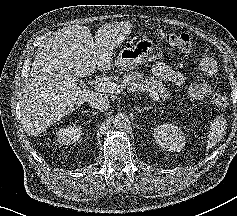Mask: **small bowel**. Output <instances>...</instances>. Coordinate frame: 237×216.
Segmentation results:
<instances>
[{"instance_id":"obj_1","label":"small bowel","mask_w":237,"mask_h":216,"mask_svg":"<svg viewBox=\"0 0 237 216\" xmlns=\"http://www.w3.org/2000/svg\"><path fill=\"white\" fill-rule=\"evenodd\" d=\"M200 71L207 75H213L217 70L216 62L212 58H203L199 65ZM153 74L163 82L172 83L174 85H182L184 76L181 72L173 70L170 66L163 62H156L152 68ZM211 87L203 83H194L189 86L188 93L193 99H203L211 94Z\"/></svg>"}]
</instances>
